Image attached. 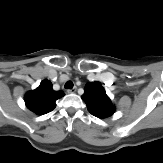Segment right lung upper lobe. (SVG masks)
Wrapping results in <instances>:
<instances>
[{"label":"right lung upper lobe","instance_id":"1","mask_svg":"<svg viewBox=\"0 0 163 163\" xmlns=\"http://www.w3.org/2000/svg\"><path fill=\"white\" fill-rule=\"evenodd\" d=\"M64 95L63 91H54L50 81L43 80L38 88L25 94L24 100L28 109L43 115L52 111L56 107V100Z\"/></svg>","mask_w":163,"mask_h":163}]
</instances>
